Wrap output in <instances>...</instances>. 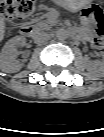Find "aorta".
Segmentation results:
<instances>
[{
	"mask_svg": "<svg viewBox=\"0 0 104 137\" xmlns=\"http://www.w3.org/2000/svg\"><path fill=\"white\" fill-rule=\"evenodd\" d=\"M56 36L58 39H66L69 36V33L67 30L59 29L56 31Z\"/></svg>",
	"mask_w": 104,
	"mask_h": 137,
	"instance_id": "aorta-1",
	"label": "aorta"
}]
</instances>
